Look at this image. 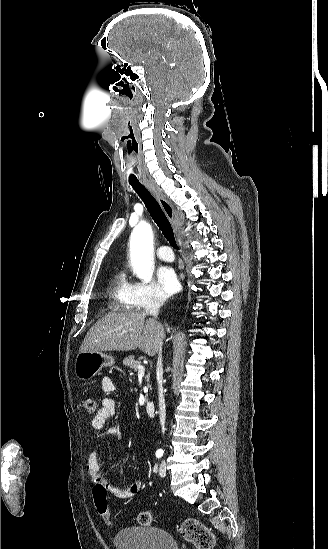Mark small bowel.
<instances>
[{"label": "small bowel", "instance_id": "obj_1", "mask_svg": "<svg viewBox=\"0 0 328 549\" xmlns=\"http://www.w3.org/2000/svg\"><path fill=\"white\" fill-rule=\"evenodd\" d=\"M101 387L104 392L112 393L115 390V384L110 377H104L101 382ZM116 412V403L114 399L106 397L102 400L101 407L91 421L92 429L95 431V436H110L119 441L121 438V428L117 425H111L105 428L106 422L113 417ZM135 460V457L132 458ZM86 470L88 476L94 483L101 482L106 486V489L120 499L133 498L141 489V482L135 481L125 488H118L110 484H106L101 476V466L99 462V452L97 448H93L86 461Z\"/></svg>", "mask_w": 328, "mask_h": 549}]
</instances>
